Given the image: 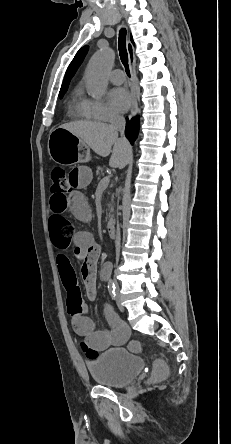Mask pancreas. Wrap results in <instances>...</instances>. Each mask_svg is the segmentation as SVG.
<instances>
[{"label": "pancreas", "mask_w": 231, "mask_h": 444, "mask_svg": "<svg viewBox=\"0 0 231 444\" xmlns=\"http://www.w3.org/2000/svg\"><path fill=\"white\" fill-rule=\"evenodd\" d=\"M105 167L104 166H98L96 170V175L98 176V179H101V177L104 176Z\"/></svg>", "instance_id": "pancreas-1"}]
</instances>
